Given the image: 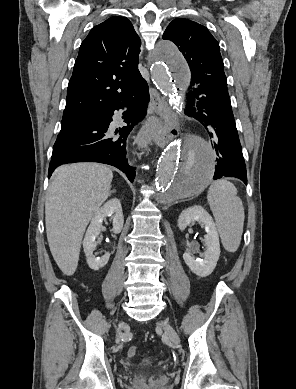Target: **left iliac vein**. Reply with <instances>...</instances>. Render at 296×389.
<instances>
[{
  "instance_id": "4c4485c4",
  "label": "left iliac vein",
  "mask_w": 296,
  "mask_h": 389,
  "mask_svg": "<svg viewBox=\"0 0 296 389\" xmlns=\"http://www.w3.org/2000/svg\"><path fill=\"white\" fill-rule=\"evenodd\" d=\"M160 327L163 328L165 334L167 337L176 345H179L180 338L177 334V332L169 325L167 321H161L158 323Z\"/></svg>"
}]
</instances>
